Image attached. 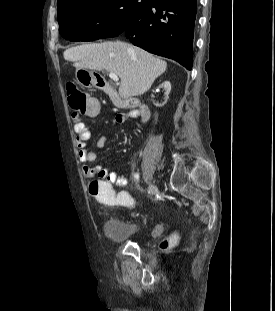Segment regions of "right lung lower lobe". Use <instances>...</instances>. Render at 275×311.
<instances>
[{
  "instance_id": "1",
  "label": "right lung lower lobe",
  "mask_w": 275,
  "mask_h": 311,
  "mask_svg": "<svg viewBox=\"0 0 275 311\" xmlns=\"http://www.w3.org/2000/svg\"><path fill=\"white\" fill-rule=\"evenodd\" d=\"M197 0H154L123 33L136 46L176 60L191 70ZM90 35L79 41H91Z\"/></svg>"
}]
</instances>
